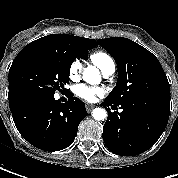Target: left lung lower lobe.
<instances>
[{
  "mask_svg": "<svg viewBox=\"0 0 178 178\" xmlns=\"http://www.w3.org/2000/svg\"><path fill=\"white\" fill-rule=\"evenodd\" d=\"M112 104L106 99L102 103L103 106ZM121 109V113H112L107 108L108 118L103 128L105 145L121 156H134L147 151L163 133L169 113L132 103L121 105Z\"/></svg>",
  "mask_w": 178,
  "mask_h": 178,
  "instance_id": "obj_1",
  "label": "left lung lower lobe"
}]
</instances>
